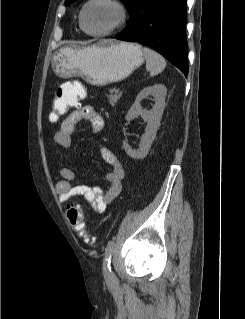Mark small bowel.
<instances>
[{"label": "small bowel", "instance_id": "obj_1", "mask_svg": "<svg viewBox=\"0 0 245 319\" xmlns=\"http://www.w3.org/2000/svg\"><path fill=\"white\" fill-rule=\"evenodd\" d=\"M81 86L78 80L64 82L59 89L71 91ZM86 120L90 123L94 132L98 133L104 129L105 121L103 116L91 105L79 107L71 112L60 125V129L54 135V143L64 150L69 151L72 147V140L76 132L77 124ZM101 155L104 161L110 166L111 171L105 176V180L110 184L104 191L99 185L76 184L75 173L70 167H63L60 170L61 180L56 184V192L61 202H67L76 196H82L90 207L98 213H102L108 204L116 199L122 191V179L124 169L115 153L108 147L101 148Z\"/></svg>", "mask_w": 245, "mask_h": 319}]
</instances>
